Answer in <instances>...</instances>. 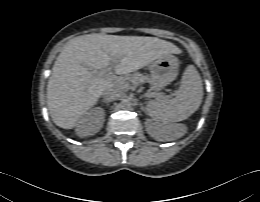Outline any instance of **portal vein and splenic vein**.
I'll list each match as a JSON object with an SVG mask.
<instances>
[{"instance_id":"portal-vein-and-splenic-vein-1","label":"portal vein and splenic vein","mask_w":260,"mask_h":202,"mask_svg":"<svg viewBox=\"0 0 260 202\" xmlns=\"http://www.w3.org/2000/svg\"><path fill=\"white\" fill-rule=\"evenodd\" d=\"M93 73L99 77H106V78H110V79L115 78V76L111 72V68H108L106 70H101V71H93Z\"/></svg>"}]
</instances>
